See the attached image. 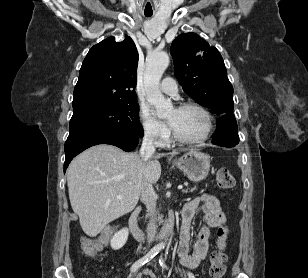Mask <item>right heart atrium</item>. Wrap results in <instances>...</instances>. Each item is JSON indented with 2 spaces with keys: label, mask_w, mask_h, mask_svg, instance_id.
I'll list each match as a JSON object with an SVG mask.
<instances>
[{
  "label": "right heart atrium",
  "mask_w": 308,
  "mask_h": 278,
  "mask_svg": "<svg viewBox=\"0 0 308 278\" xmlns=\"http://www.w3.org/2000/svg\"><path fill=\"white\" fill-rule=\"evenodd\" d=\"M140 123L146 140L158 146H164L168 143L170 138L168 127L156 119L147 108L140 110Z\"/></svg>",
  "instance_id": "obj_1"
}]
</instances>
